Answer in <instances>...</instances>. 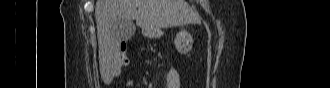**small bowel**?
<instances>
[{"mask_svg": "<svg viewBox=\"0 0 330 88\" xmlns=\"http://www.w3.org/2000/svg\"><path fill=\"white\" fill-rule=\"evenodd\" d=\"M121 57H124V64L127 63V57L125 56V52L121 54ZM120 61V56L118 58V62ZM180 87V75L177 70L171 69L166 74V88H179Z\"/></svg>", "mask_w": 330, "mask_h": 88, "instance_id": "obj_1", "label": "small bowel"}]
</instances>
